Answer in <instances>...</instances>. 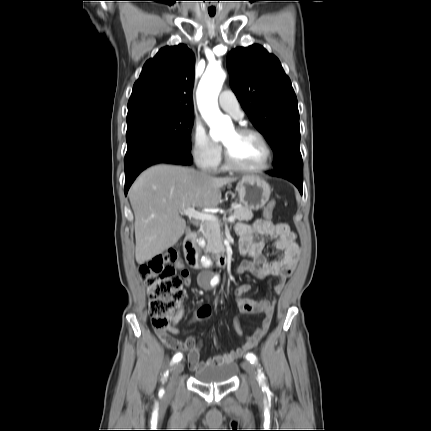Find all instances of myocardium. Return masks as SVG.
<instances>
[{
    "instance_id": "obj_1",
    "label": "myocardium",
    "mask_w": 431,
    "mask_h": 431,
    "mask_svg": "<svg viewBox=\"0 0 431 431\" xmlns=\"http://www.w3.org/2000/svg\"><path fill=\"white\" fill-rule=\"evenodd\" d=\"M236 132L239 134H251L256 136L260 142L263 144L265 151H266V159L263 164L257 167H244L239 164H237L231 157L227 147L224 145V157H225V164L226 166L234 171L241 172V173H258L267 170L270 168L272 161H273V150L266 139V137L261 133L259 130L252 128V127H238L235 129Z\"/></svg>"
}]
</instances>
